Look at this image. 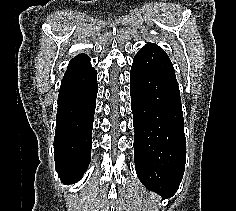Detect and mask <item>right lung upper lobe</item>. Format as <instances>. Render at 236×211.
Listing matches in <instances>:
<instances>
[{"mask_svg": "<svg viewBox=\"0 0 236 211\" xmlns=\"http://www.w3.org/2000/svg\"><path fill=\"white\" fill-rule=\"evenodd\" d=\"M89 68H91L90 58L85 54H79L70 61L65 75L84 71Z\"/></svg>", "mask_w": 236, "mask_h": 211, "instance_id": "right-lung-upper-lobe-1", "label": "right lung upper lobe"}]
</instances>
